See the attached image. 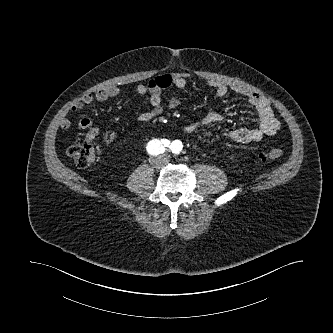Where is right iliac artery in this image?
<instances>
[{"mask_svg": "<svg viewBox=\"0 0 333 333\" xmlns=\"http://www.w3.org/2000/svg\"><path fill=\"white\" fill-rule=\"evenodd\" d=\"M170 141L167 139H153L147 144V152L151 155H159L164 153L165 147H169Z\"/></svg>", "mask_w": 333, "mask_h": 333, "instance_id": "82829eb1", "label": "right iliac artery"}]
</instances>
